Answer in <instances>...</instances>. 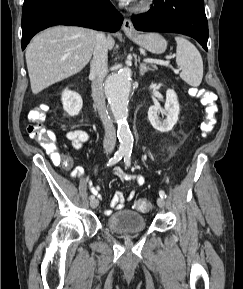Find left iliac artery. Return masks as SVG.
I'll return each instance as SVG.
<instances>
[{
	"label": "left iliac artery",
	"mask_w": 243,
	"mask_h": 289,
	"mask_svg": "<svg viewBox=\"0 0 243 289\" xmlns=\"http://www.w3.org/2000/svg\"><path fill=\"white\" fill-rule=\"evenodd\" d=\"M124 162L129 167L131 165V151H126L124 154ZM159 195L161 198H166V194L163 190L159 191Z\"/></svg>",
	"instance_id": "obj_1"
}]
</instances>
